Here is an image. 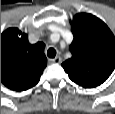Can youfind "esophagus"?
<instances>
[{
	"instance_id": "esophagus-1",
	"label": "esophagus",
	"mask_w": 115,
	"mask_h": 114,
	"mask_svg": "<svg viewBox=\"0 0 115 114\" xmlns=\"http://www.w3.org/2000/svg\"><path fill=\"white\" fill-rule=\"evenodd\" d=\"M50 61L54 64H60L62 62V59L61 57L57 56L54 59H51Z\"/></svg>"
}]
</instances>
